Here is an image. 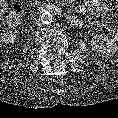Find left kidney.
Masks as SVG:
<instances>
[{
    "label": "left kidney",
    "instance_id": "5707ae66",
    "mask_svg": "<svg viewBox=\"0 0 118 118\" xmlns=\"http://www.w3.org/2000/svg\"><path fill=\"white\" fill-rule=\"evenodd\" d=\"M91 48L96 54L105 58H111L118 51L115 40L105 34L95 35L91 40Z\"/></svg>",
    "mask_w": 118,
    "mask_h": 118
}]
</instances>
